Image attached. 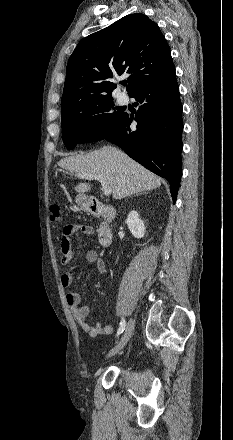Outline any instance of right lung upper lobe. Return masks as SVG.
I'll return each instance as SVG.
<instances>
[{
	"label": "right lung upper lobe",
	"instance_id": "obj_1",
	"mask_svg": "<svg viewBox=\"0 0 233 440\" xmlns=\"http://www.w3.org/2000/svg\"><path fill=\"white\" fill-rule=\"evenodd\" d=\"M174 66L157 24L141 13L130 14L82 39L70 56L61 100L69 105L111 97L110 79L129 74L130 96Z\"/></svg>",
	"mask_w": 233,
	"mask_h": 440
}]
</instances>
